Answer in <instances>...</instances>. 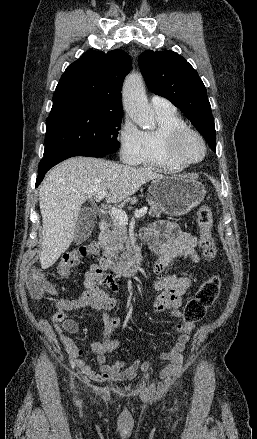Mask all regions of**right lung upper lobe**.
<instances>
[{
  "label": "right lung upper lobe",
  "instance_id": "right-lung-upper-lobe-1",
  "mask_svg": "<svg viewBox=\"0 0 257 439\" xmlns=\"http://www.w3.org/2000/svg\"><path fill=\"white\" fill-rule=\"evenodd\" d=\"M131 66L122 50L85 52L60 78L49 117L77 110L123 113L121 89Z\"/></svg>",
  "mask_w": 257,
  "mask_h": 439
}]
</instances>
